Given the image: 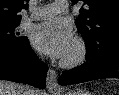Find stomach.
Listing matches in <instances>:
<instances>
[{"label":"stomach","instance_id":"1","mask_svg":"<svg viewBox=\"0 0 119 95\" xmlns=\"http://www.w3.org/2000/svg\"><path fill=\"white\" fill-rule=\"evenodd\" d=\"M64 95H90V93L82 89H76V90L68 91Z\"/></svg>","mask_w":119,"mask_h":95}]
</instances>
